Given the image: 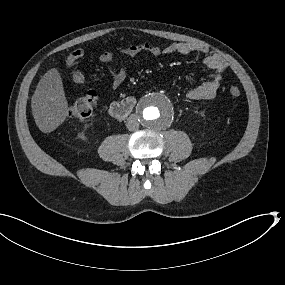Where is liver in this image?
Instances as JSON below:
<instances>
[{"instance_id":"6515ba94","label":"liver","mask_w":285,"mask_h":285,"mask_svg":"<svg viewBox=\"0 0 285 285\" xmlns=\"http://www.w3.org/2000/svg\"><path fill=\"white\" fill-rule=\"evenodd\" d=\"M35 123L43 133L54 131L68 116L60 73L52 68L39 81L31 99Z\"/></svg>"}]
</instances>
